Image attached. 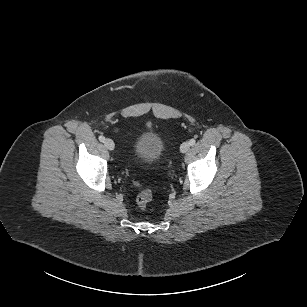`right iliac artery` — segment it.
Listing matches in <instances>:
<instances>
[{
    "instance_id": "obj_1",
    "label": "right iliac artery",
    "mask_w": 307,
    "mask_h": 307,
    "mask_svg": "<svg viewBox=\"0 0 307 307\" xmlns=\"http://www.w3.org/2000/svg\"><path fill=\"white\" fill-rule=\"evenodd\" d=\"M99 140L101 141V142H104L105 141V137L104 136H99Z\"/></svg>"
}]
</instances>
